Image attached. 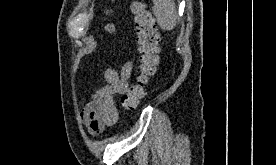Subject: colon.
Instances as JSON below:
<instances>
[{
    "label": "colon",
    "instance_id": "obj_1",
    "mask_svg": "<svg viewBox=\"0 0 276 165\" xmlns=\"http://www.w3.org/2000/svg\"><path fill=\"white\" fill-rule=\"evenodd\" d=\"M131 14L137 36L139 68L135 82L123 94L121 100L122 108L126 111L136 109L144 97L146 83L158 65L160 42L154 17L144 2L132 3ZM104 15L108 17L110 10H106ZM106 30L113 33L115 27L111 22H107Z\"/></svg>",
    "mask_w": 276,
    "mask_h": 165
}]
</instances>
